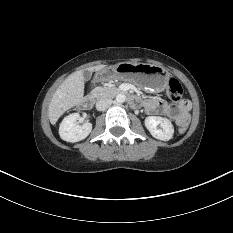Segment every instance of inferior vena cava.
<instances>
[{
  "instance_id": "1",
  "label": "inferior vena cava",
  "mask_w": 233,
  "mask_h": 233,
  "mask_svg": "<svg viewBox=\"0 0 233 233\" xmlns=\"http://www.w3.org/2000/svg\"><path fill=\"white\" fill-rule=\"evenodd\" d=\"M112 102H113L112 99H109V98L100 99L96 103V109L98 111H104V110H106L107 108L110 107Z\"/></svg>"
}]
</instances>
